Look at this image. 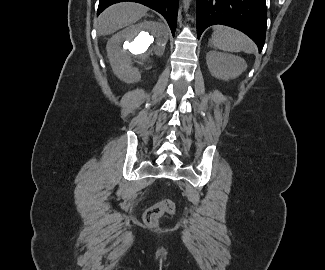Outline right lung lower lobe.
Listing matches in <instances>:
<instances>
[{
	"label": "right lung lower lobe",
	"mask_w": 325,
	"mask_h": 270,
	"mask_svg": "<svg viewBox=\"0 0 325 270\" xmlns=\"http://www.w3.org/2000/svg\"><path fill=\"white\" fill-rule=\"evenodd\" d=\"M122 1L138 2L159 12L167 20L171 32L174 35L176 30L179 0H100L98 14L108 6Z\"/></svg>",
	"instance_id": "right-lung-lower-lobe-1"
}]
</instances>
